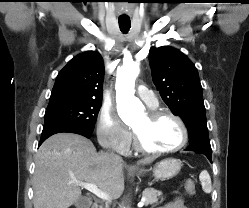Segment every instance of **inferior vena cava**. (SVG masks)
<instances>
[{"label": "inferior vena cava", "mask_w": 249, "mask_h": 208, "mask_svg": "<svg viewBox=\"0 0 249 208\" xmlns=\"http://www.w3.org/2000/svg\"><path fill=\"white\" fill-rule=\"evenodd\" d=\"M105 155L109 157L110 159L121 161L122 158L119 155L114 154L113 152H106Z\"/></svg>", "instance_id": "inferior-vena-cava-1"}]
</instances>
